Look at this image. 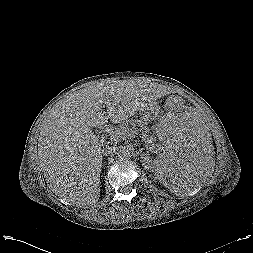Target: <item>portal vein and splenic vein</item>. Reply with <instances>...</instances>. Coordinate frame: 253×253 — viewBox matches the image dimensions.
I'll return each mask as SVG.
<instances>
[{"mask_svg":"<svg viewBox=\"0 0 253 253\" xmlns=\"http://www.w3.org/2000/svg\"><path fill=\"white\" fill-rule=\"evenodd\" d=\"M108 131H110V130L108 129ZM149 142L151 143L152 141H151V140H149Z\"/></svg>","mask_w":253,"mask_h":253,"instance_id":"1","label":"portal vein and splenic vein"}]
</instances>
